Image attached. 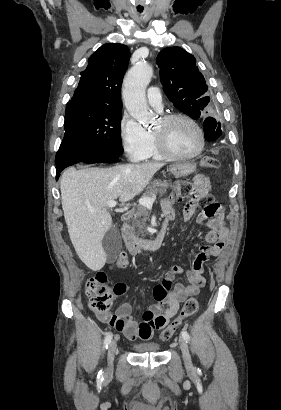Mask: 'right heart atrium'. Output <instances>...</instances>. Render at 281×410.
Wrapping results in <instances>:
<instances>
[{
	"instance_id": "obj_1",
	"label": "right heart atrium",
	"mask_w": 281,
	"mask_h": 410,
	"mask_svg": "<svg viewBox=\"0 0 281 410\" xmlns=\"http://www.w3.org/2000/svg\"><path fill=\"white\" fill-rule=\"evenodd\" d=\"M120 139L124 152L132 161H140L150 142V133L134 118L125 115L120 122Z\"/></svg>"
}]
</instances>
